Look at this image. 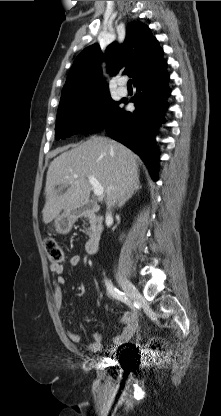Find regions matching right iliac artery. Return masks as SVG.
I'll return each instance as SVG.
<instances>
[{"mask_svg": "<svg viewBox=\"0 0 221 416\" xmlns=\"http://www.w3.org/2000/svg\"><path fill=\"white\" fill-rule=\"evenodd\" d=\"M106 287H107V291L108 293L115 299L120 300L121 302L131 306V303L129 301V299L127 298V296L125 295V293H123L122 291L118 290L115 286H113V284L111 283V281L106 280Z\"/></svg>", "mask_w": 221, "mask_h": 416, "instance_id": "1", "label": "right iliac artery"}]
</instances>
